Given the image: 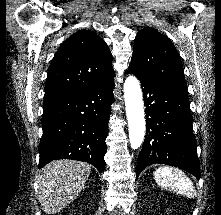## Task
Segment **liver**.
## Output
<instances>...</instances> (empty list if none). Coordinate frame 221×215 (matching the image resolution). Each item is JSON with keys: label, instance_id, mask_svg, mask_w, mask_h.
<instances>
[{"label": "liver", "instance_id": "obj_1", "mask_svg": "<svg viewBox=\"0 0 221 215\" xmlns=\"http://www.w3.org/2000/svg\"><path fill=\"white\" fill-rule=\"evenodd\" d=\"M91 167L85 162L55 160L38 177V200L42 210L55 214L73 202L82 191Z\"/></svg>", "mask_w": 221, "mask_h": 215}]
</instances>
